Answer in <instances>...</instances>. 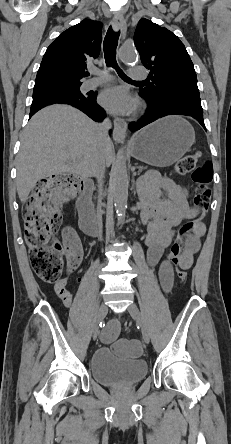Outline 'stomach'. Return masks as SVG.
<instances>
[{"label": "stomach", "instance_id": "stomach-1", "mask_svg": "<svg viewBox=\"0 0 231 444\" xmlns=\"http://www.w3.org/2000/svg\"><path fill=\"white\" fill-rule=\"evenodd\" d=\"M194 142L195 131L190 123L171 115L141 130L129 148L136 159L155 167H167L188 152Z\"/></svg>", "mask_w": 231, "mask_h": 444}]
</instances>
